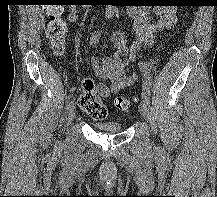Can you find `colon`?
<instances>
[{
  "mask_svg": "<svg viewBox=\"0 0 217 197\" xmlns=\"http://www.w3.org/2000/svg\"><path fill=\"white\" fill-rule=\"evenodd\" d=\"M62 0H45L44 12L49 19L46 35L50 48L55 55H61L64 51L68 27L63 18ZM108 93V88L91 79H85L82 84V95L79 106L92 119L102 121L107 117L108 110L102 102V98ZM115 106L122 111L130 107V101L126 97H118Z\"/></svg>",
  "mask_w": 217,
  "mask_h": 197,
  "instance_id": "5ec220e1",
  "label": "colon"
}]
</instances>
